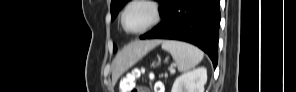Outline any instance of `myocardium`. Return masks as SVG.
Returning <instances> with one entry per match:
<instances>
[{"label":"myocardium","mask_w":296,"mask_h":92,"mask_svg":"<svg viewBox=\"0 0 296 92\" xmlns=\"http://www.w3.org/2000/svg\"><path fill=\"white\" fill-rule=\"evenodd\" d=\"M135 4H144V5H147L151 9V11H152V19L142 29L131 31V30H128L126 28V25H125V15H126V12L128 11V9L131 6L135 5ZM160 19H161V11H160V8H159V6H158V4L156 2L150 1V0H133V1L129 2L126 5V7L124 8L123 12L121 13L120 22H121V26H122L123 30L126 33L132 34V35H139V34H143V33L147 32L150 29H152L153 27H155L158 24V22L160 21Z\"/></svg>","instance_id":"f54148a6"}]
</instances>
